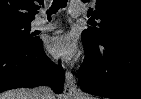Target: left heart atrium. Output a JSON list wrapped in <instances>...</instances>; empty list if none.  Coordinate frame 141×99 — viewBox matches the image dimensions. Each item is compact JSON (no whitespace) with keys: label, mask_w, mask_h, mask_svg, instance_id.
Here are the masks:
<instances>
[{"label":"left heart atrium","mask_w":141,"mask_h":99,"mask_svg":"<svg viewBox=\"0 0 141 99\" xmlns=\"http://www.w3.org/2000/svg\"><path fill=\"white\" fill-rule=\"evenodd\" d=\"M49 50L56 57L70 60L78 52L77 41L71 34L56 36L49 42Z\"/></svg>","instance_id":"39dd6f15"}]
</instances>
